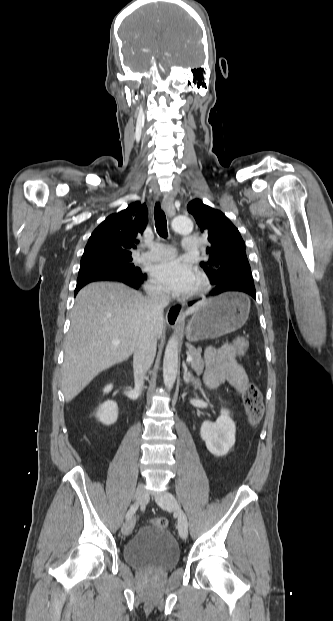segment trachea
Returning a JSON list of instances; mask_svg holds the SVG:
<instances>
[{"instance_id":"obj_1","label":"trachea","mask_w":333,"mask_h":621,"mask_svg":"<svg viewBox=\"0 0 333 621\" xmlns=\"http://www.w3.org/2000/svg\"><path fill=\"white\" fill-rule=\"evenodd\" d=\"M154 218H155V227L159 236L163 238L168 237L167 232V220L164 211L161 209V205L159 202L156 203L154 207Z\"/></svg>"}]
</instances>
